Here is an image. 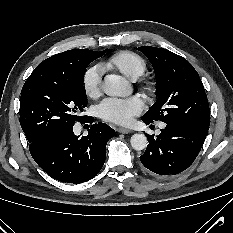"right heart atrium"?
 Returning a JSON list of instances; mask_svg holds the SVG:
<instances>
[{
	"label": "right heart atrium",
	"instance_id": "1",
	"mask_svg": "<svg viewBox=\"0 0 233 233\" xmlns=\"http://www.w3.org/2000/svg\"><path fill=\"white\" fill-rule=\"evenodd\" d=\"M103 69L100 66H93L86 70L83 76V88L91 98H97L102 92Z\"/></svg>",
	"mask_w": 233,
	"mask_h": 233
}]
</instances>
